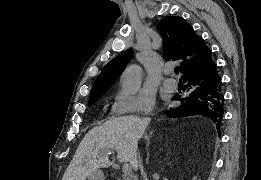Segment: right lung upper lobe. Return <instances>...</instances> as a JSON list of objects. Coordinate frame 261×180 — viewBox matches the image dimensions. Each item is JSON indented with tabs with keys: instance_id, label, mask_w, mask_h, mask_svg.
<instances>
[{
	"instance_id": "1",
	"label": "right lung upper lobe",
	"mask_w": 261,
	"mask_h": 180,
	"mask_svg": "<svg viewBox=\"0 0 261 180\" xmlns=\"http://www.w3.org/2000/svg\"><path fill=\"white\" fill-rule=\"evenodd\" d=\"M157 30L163 39L165 59L181 61L180 70L183 74L212 61L211 51L202 37L197 36L193 28L182 17L164 18L157 25ZM132 56V49H128L107 63L93 84L90 98L102 96L117 79Z\"/></svg>"
}]
</instances>
